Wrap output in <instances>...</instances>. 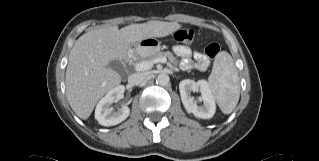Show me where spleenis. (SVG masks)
<instances>
[{"label": "spleen", "mask_w": 319, "mask_h": 161, "mask_svg": "<svg viewBox=\"0 0 319 161\" xmlns=\"http://www.w3.org/2000/svg\"><path fill=\"white\" fill-rule=\"evenodd\" d=\"M208 85L221 111L230 114L239 101L240 83L237 68L228 52L217 54Z\"/></svg>", "instance_id": "3e777b00"}]
</instances>
